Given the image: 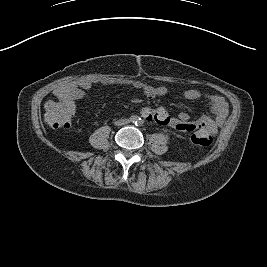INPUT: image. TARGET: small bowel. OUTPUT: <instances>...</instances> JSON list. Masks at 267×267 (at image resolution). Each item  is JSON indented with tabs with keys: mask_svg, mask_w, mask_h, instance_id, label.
<instances>
[{
	"mask_svg": "<svg viewBox=\"0 0 267 267\" xmlns=\"http://www.w3.org/2000/svg\"><path fill=\"white\" fill-rule=\"evenodd\" d=\"M83 88L87 89L88 87L85 85ZM136 88L141 90L142 93L150 99L164 96L167 93V89L163 86L153 87L138 84ZM201 96L202 94L194 89L187 90L183 93V99L187 101L198 100ZM63 99L66 100V98ZM205 99L208 103L210 112L213 114V118L202 116L199 119L192 121L189 114L186 112H180L177 117H172L164 107H144L141 109L140 113L147 121L155 122L162 126H168L184 132L200 131L214 135L224 122L228 108L224 99L219 96L206 95ZM133 100L135 102H140L141 99L139 97H134Z\"/></svg>",
	"mask_w": 267,
	"mask_h": 267,
	"instance_id": "obj_1",
	"label": "small bowel"
}]
</instances>
